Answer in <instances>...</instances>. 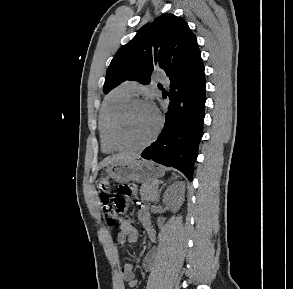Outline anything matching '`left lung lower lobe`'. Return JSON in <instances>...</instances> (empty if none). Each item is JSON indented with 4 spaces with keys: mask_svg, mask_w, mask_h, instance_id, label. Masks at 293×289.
Instances as JSON below:
<instances>
[{
    "mask_svg": "<svg viewBox=\"0 0 293 289\" xmlns=\"http://www.w3.org/2000/svg\"><path fill=\"white\" fill-rule=\"evenodd\" d=\"M169 79L170 103L164 128L141 156L165 166H173L192 180L198 145L203 135L206 101L201 53Z\"/></svg>",
    "mask_w": 293,
    "mask_h": 289,
    "instance_id": "0a47b994",
    "label": "left lung lower lobe"
}]
</instances>
